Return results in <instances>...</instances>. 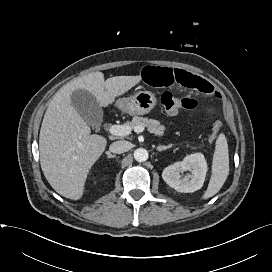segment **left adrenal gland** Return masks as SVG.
<instances>
[{
	"label": "left adrenal gland",
	"mask_w": 272,
	"mask_h": 272,
	"mask_svg": "<svg viewBox=\"0 0 272 272\" xmlns=\"http://www.w3.org/2000/svg\"><path fill=\"white\" fill-rule=\"evenodd\" d=\"M171 147H172L171 144L168 145V146H158V147H156V150L159 151V152H161V151L166 150V149H169V148H171Z\"/></svg>",
	"instance_id": "obj_1"
}]
</instances>
